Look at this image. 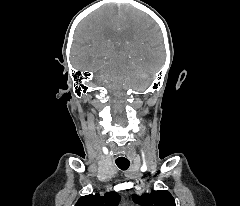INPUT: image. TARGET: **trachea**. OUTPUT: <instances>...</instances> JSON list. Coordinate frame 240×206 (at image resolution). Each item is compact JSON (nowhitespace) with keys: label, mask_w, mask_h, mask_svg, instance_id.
I'll list each match as a JSON object with an SVG mask.
<instances>
[{"label":"trachea","mask_w":240,"mask_h":206,"mask_svg":"<svg viewBox=\"0 0 240 206\" xmlns=\"http://www.w3.org/2000/svg\"><path fill=\"white\" fill-rule=\"evenodd\" d=\"M116 164L121 170H126L128 169L130 162L128 160H116Z\"/></svg>","instance_id":"1"}]
</instances>
